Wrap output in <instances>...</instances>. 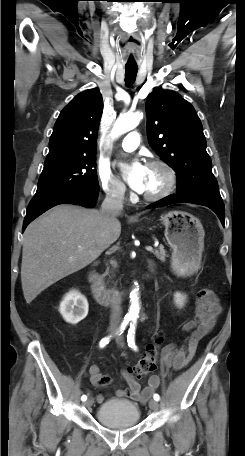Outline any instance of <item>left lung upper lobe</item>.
Instances as JSON below:
<instances>
[{
  "instance_id": "1",
  "label": "left lung upper lobe",
  "mask_w": 245,
  "mask_h": 456,
  "mask_svg": "<svg viewBox=\"0 0 245 456\" xmlns=\"http://www.w3.org/2000/svg\"><path fill=\"white\" fill-rule=\"evenodd\" d=\"M151 148L177 173V195L222 201L201 121L181 95L155 89L147 98Z\"/></svg>"
}]
</instances>
